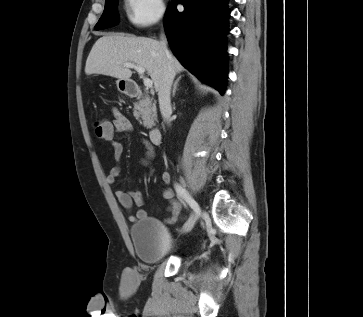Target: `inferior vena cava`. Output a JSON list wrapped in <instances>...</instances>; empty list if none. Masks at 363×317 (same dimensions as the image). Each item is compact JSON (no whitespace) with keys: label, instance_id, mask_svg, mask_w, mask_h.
<instances>
[{"label":"inferior vena cava","instance_id":"602c4592","mask_svg":"<svg viewBox=\"0 0 363 317\" xmlns=\"http://www.w3.org/2000/svg\"><path fill=\"white\" fill-rule=\"evenodd\" d=\"M161 45L166 57L163 75L158 89L159 107L164 121H169L172 112L170 91L175 77V71L172 65V56L167 49V43L164 36H161Z\"/></svg>","mask_w":363,"mask_h":317}]
</instances>
